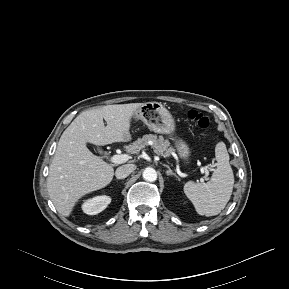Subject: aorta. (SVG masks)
I'll return each mask as SVG.
<instances>
[{"instance_id": "aorta-1", "label": "aorta", "mask_w": 289, "mask_h": 289, "mask_svg": "<svg viewBox=\"0 0 289 289\" xmlns=\"http://www.w3.org/2000/svg\"><path fill=\"white\" fill-rule=\"evenodd\" d=\"M143 178L146 181L153 182L157 179V172L153 168H146L143 171Z\"/></svg>"}]
</instances>
